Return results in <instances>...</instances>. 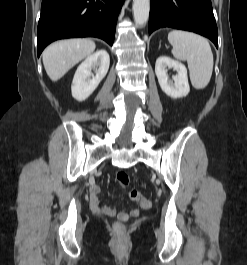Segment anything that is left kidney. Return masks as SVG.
I'll list each match as a JSON object with an SVG mask.
<instances>
[{
    "label": "left kidney",
    "mask_w": 247,
    "mask_h": 265,
    "mask_svg": "<svg viewBox=\"0 0 247 265\" xmlns=\"http://www.w3.org/2000/svg\"><path fill=\"white\" fill-rule=\"evenodd\" d=\"M167 67L177 72V75L173 77L174 82L168 80ZM155 73L162 91L171 98H182L190 92L187 69L179 61L161 56L156 60Z\"/></svg>",
    "instance_id": "5707ae66"
}]
</instances>
